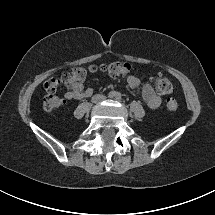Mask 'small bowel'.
Returning a JSON list of instances; mask_svg holds the SVG:
<instances>
[{"instance_id": "c3829d8e", "label": "small bowel", "mask_w": 215, "mask_h": 215, "mask_svg": "<svg viewBox=\"0 0 215 215\" xmlns=\"http://www.w3.org/2000/svg\"><path fill=\"white\" fill-rule=\"evenodd\" d=\"M127 84L130 88L135 89L140 85V80L137 76L131 75L127 78ZM92 93L91 88H85L82 82H76L71 90L66 92L65 98L68 100L83 99L91 96ZM142 96L147 106L151 109H157L161 104V98L155 93L150 83L143 85Z\"/></svg>"}]
</instances>
